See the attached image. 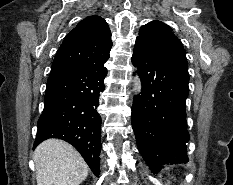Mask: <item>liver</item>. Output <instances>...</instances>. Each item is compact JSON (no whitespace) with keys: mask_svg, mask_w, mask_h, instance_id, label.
<instances>
[{"mask_svg":"<svg viewBox=\"0 0 233 185\" xmlns=\"http://www.w3.org/2000/svg\"><path fill=\"white\" fill-rule=\"evenodd\" d=\"M37 185H79L89 168L78 151L63 140L48 139L34 152Z\"/></svg>","mask_w":233,"mask_h":185,"instance_id":"6515ba94","label":"liver"}]
</instances>
